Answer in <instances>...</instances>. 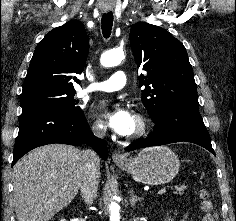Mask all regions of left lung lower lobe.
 Wrapping results in <instances>:
<instances>
[{
    "label": "left lung lower lobe",
    "instance_id": "left-lung-lower-lobe-1",
    "mask_svg": "<svg viewBox=\"0 0 236 221\" xmlns=\"http://www.w3.org/2000/svg\"><path fill=\"white\" fill-rule=\"evenodd\" d=\"M180 141L198 144L215 155L199 108L171 106L165 109L155 122L153 133L148 138L131 144L126 151Z\"/></svg>",
    "mask_w": 236,
    "mask_h": 221
}]
</instances>
